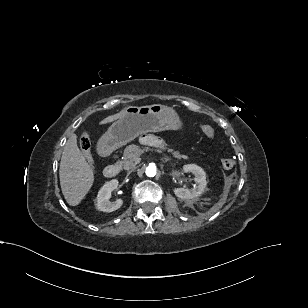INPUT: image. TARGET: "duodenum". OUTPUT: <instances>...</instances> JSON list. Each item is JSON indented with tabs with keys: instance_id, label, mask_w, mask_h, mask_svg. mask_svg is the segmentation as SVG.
Listing matches in <instances>:
<instances>
[{
	"instance_id": "duodenum-1",
	"label": "duodenum",
	"mask_w": 308,
	"mask_h": 308,
	"mask_svg": "<svg viewBox=\"0 0 308 308\" xmlns=\"http://www.w3.org/2000/svg\"><path fill=\"white\" fill-rule=\"evenodd\" d=\"M110 152H111V149L109 146L102 145L100 147V153L103 156L109 155ZM119 172H120V166L117 163L110 164L106 166V168L104 169V175L107 178H115L119 174Z\"/></svg>"
}]
</instances>
